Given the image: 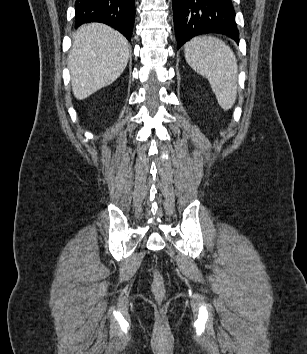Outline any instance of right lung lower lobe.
<instances>
[{
	"label": "right lung lower lobe",
	"mask_w": 307,
	"mask_h": 354,
	"mask_svg": "<svg viewBox=\"0 0 307 354\" xmlns=\"http://www.w3.org/2000/svg\"><path fill=\"white\" fill-rule=\"evenodd\" d=\"M135 0H77L75 2L76 27L87 22H102L131 39Z\"/></svg>",
	"instance_id": "obj_1"
}]
</instances>
